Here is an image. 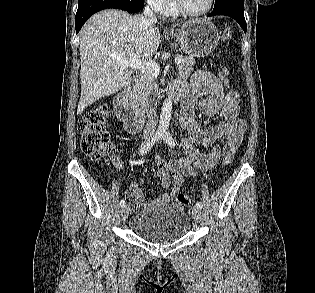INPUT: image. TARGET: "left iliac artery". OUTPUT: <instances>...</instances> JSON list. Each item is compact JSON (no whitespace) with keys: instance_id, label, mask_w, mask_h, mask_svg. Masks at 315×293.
I'll return each instance as SVG.
<instances>
[{"instance_id":"44dca946","label":"left iliac artery","mask_w":315,"mask_h":293,"mask_svg":"<svg viewBox=\"0 0 315 293\" xmlns=\"http://www.w3.org/2000/svg\"><path fill=\"white\" fill-rule=\"evenodd\" d=\"M162 140H164L166 142V144H168L170 147H175V141L172 137V135L167 132V131H164L162 133ZM196 206L199 208V209H202V203L201 202H197L196 203Z\"/></svg>"}]
</instances>
